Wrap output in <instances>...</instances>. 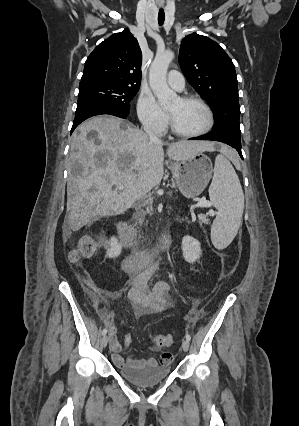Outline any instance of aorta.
I'll list each match as a JSON object with an SVG mask.
<instances>
[{
	"mask_svg": "<svg viewBox=\"0 0 299 426\" xmlns=\"http://www.w3.org/2000/svg\"><path fill=\"white\" fill-rule=\"evenodd\" d=\"M173 58L174 53L170 50L157 53L150 66V87L161 106H167L177 98V94L168 87L166 81L167 70Z\"/></svg>",
	"mask_w": 299,
	"mask_h": 426,
	"instance_id": "obj_1",
	"label": "aorta"
}]
</instances>
